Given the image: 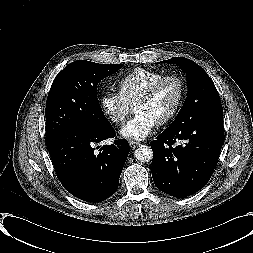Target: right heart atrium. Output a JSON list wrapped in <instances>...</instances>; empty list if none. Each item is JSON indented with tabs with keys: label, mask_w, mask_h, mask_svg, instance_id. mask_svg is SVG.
<instances>
[{
	"label": "right heart atrium",
	"mask_w": 253,
	"mask_h": 253,
	"mask_svg": "<svg viewBox=\"0 0 253 253\" xmlns=\"http://www.w3.org/2000/svg\"><path fill=\"white\" fill-rule=\"evenodd\" d=\"M99 101L105 117L115 124H122L132 111V106L117 92H106Z\"/></svg>",
	"instance_id": "d8ad5b80"
}]
</instances>
